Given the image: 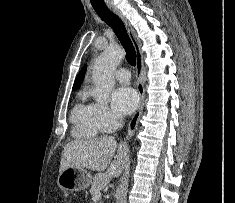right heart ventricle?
<instances>
[{"instance_id": "1", "label": "right heart ventricle", "mask_w": 235, "mask_h": 203, "mask_svg": "<svg viewBox=\"0 0 235 203\" xmlns=\"http://www.w3.org/2000/svg\"><path fill=\"white\" fill-rule=\"evenodd\" d=\"M86 96V91L79 93V102L71 112L72 133L79 138H93L102 132L95 120L92 104L85 101Z\"/></svg>"}]
</instances>
